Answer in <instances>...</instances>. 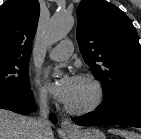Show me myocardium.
<instances>
[{
	"mask_svg": "<svg viewBox=\"0 0 141 139\" xmlns=\"http://www.w3.org/2000/svg\"><path fill=\"white\" fill-rule=\"evenodd\" d=\"M75 78L89 82L93 87L94 96L88 104L83 106L75 107L65 104L66 111L75 115H84L97 110L102 105L105 98V90L101 81L90 73H81L76 75Z\"/></svg>",
	"mask_w": 141,
	"mask_h": 139,
	"instance_id": "f54148a6",
	"label": "myocardium"
}]
</instances>
